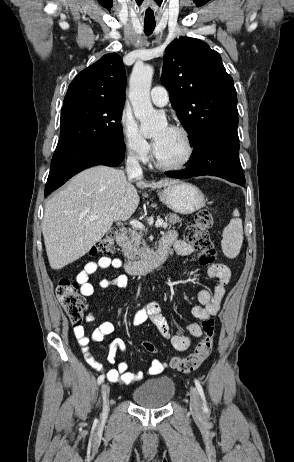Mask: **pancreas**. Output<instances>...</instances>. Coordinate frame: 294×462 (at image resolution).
Instances as JSON below:
<instances>
[{
  "label": "pancreas",
  "mask_w": 294,
  "mask_h": 462,
  "mask_svg": "<svg viewBox=\"0 0 294 462\" xmlns=\"http://www.w3.org/2000/svg\"><path fill=\"white\" fill-rule=\"evenodd\" d=\"M177 222H181V218L177 214H169L165 218L163 228L171 227ZM123 252L125 257L129 260L145 259L148 256L149 248L144 241L142 234L135 230L129 232V237L123 245Z\"/></svg>",
  "instance_id": "cf45deb5"
}]
</instances>
